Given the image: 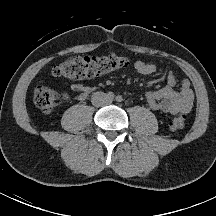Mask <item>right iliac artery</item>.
Masks as SVG:
<instances>
[{"label":"right iliac artery","mask_w":216,"mask_h":216,"mask_svg":"<svg viewBox=\"0 0 216 216\" xmlns=\"http://www.w3.org/2000/svg\"><path fill=\"white\" fill-rule=\"evenodd\" d=\"M107 97H108L109 99H114L115 95H114L113 92H108V93H107Z\"/></svg>","instance_id":"right-iliac-artery-1"}]
</instances>
